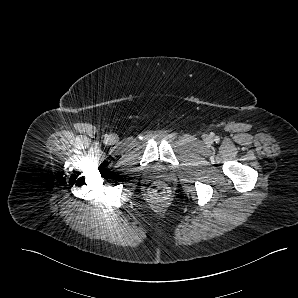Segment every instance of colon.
<instances>
[{
    "instance_id": "1",
    "label": "colon",
    "mask_w": 298,
    "mask_h": 298,
    "mask_svg": "<svg viewBox=\"0 0 298 298\" xmlns=\"http://www.w3.org/2000/svg\"><path fill=\"white\" fill-rule=\"evenodd\" d=\"M169 187L164 182L153 184L149 190V196L152 199L163 200L169 196Z\"/></svg>"
}]
</instances>
